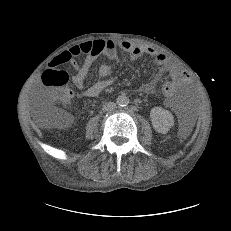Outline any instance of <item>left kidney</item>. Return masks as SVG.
<instances>
[{
	"mask_svg": "<svg viewBox=\"0 0 231 231\" xmlns=\"http://www.w3.org/2000/svg\"><path fill=\"white\" fill-rule=\"evenodd\" d=\"M150 118L153 128L162 134H166L174 126L172 113L161 107H154L150 111Z\"/></svg>",
	"mask_w": 231,
	"mask_h": 231,
	"instance_id": "left-kidney-1",
	"label": "left kidney"
}]
</instances>
